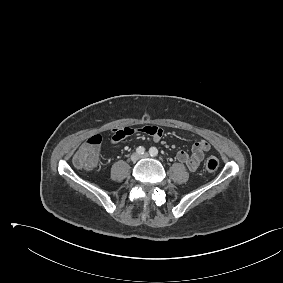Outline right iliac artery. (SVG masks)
<instances>
[{
  "mask_svg": "<svg viewBox=\"0 0 283 283\" xmlns=\"http://www.w3.org/2000/svg\"><path fill=\"white\" fill-rule=\"evenodd\" d=\"M136 152H137L138 154H143V153L145 152V148L142 147V146H139V147L136 149Z\"/></svg>",
  "mask_w": 283,
  "mask_h": 283,
  "instance_id": "1",
  "label": "right iliac artery"
}]
</instances>
